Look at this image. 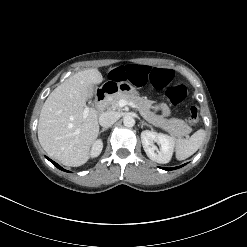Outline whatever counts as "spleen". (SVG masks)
<instances>
[{
  "label": "spleen",
  "instance_id": "spleen-1",
  "mask_svg": "<svg viewBox=\"0 0 247 247\" xmlns=\"http://www.w3.org/2000/svg\"><path fill=\"white\" fill-rule=\"evenodd\" d=\"M204 138L205 131L200 129L188 139H177L176 158L178 160H185L193 155L202 145Z\"/></svg>",
  "mask_w": 247,
  "mask_h": 247
}]
</instances>
